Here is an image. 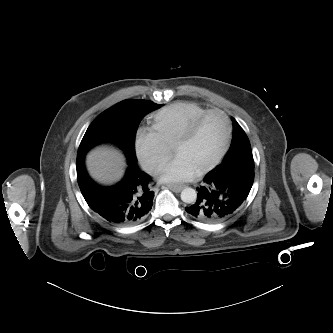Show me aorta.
<instances>
[{
  "mask_svg": "<svg viewBox=\"0 0 333 333\" xmlns=\"http://www.w3.org/2000/svg\"><path fill=\"white\" fill-rule=\"evenodd\" d=\"M197 193L193 188H185L181 192V200L185 203H193L196 201Z\"/></svg>",
  "mask_w": 333,
  "mask_h": 333,
  "instance_id": "762f6f07",
  "label": "aorta"
}]
</instances>
